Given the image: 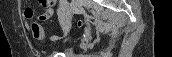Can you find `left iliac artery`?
<instances>
[{
	"mask_svg": "<svg viewBox=\"0 0 172 57\" xmlns=\"http://www.w3.org/2000/svg\"><path fill=\"white\" fill-rule=\"evenodd\" d=\"M66 3V0H61L60 1V5H64ZM61 12H60V9H58V15H60Z\"/></svg>",
	"mask_w": 172,
	"mask_h": 57,
	"instance_id": "44dca946",
	"label": "left iliac artery"
}]
</instances>
